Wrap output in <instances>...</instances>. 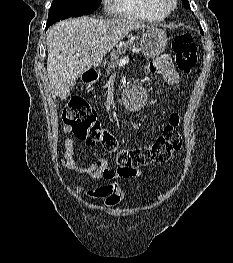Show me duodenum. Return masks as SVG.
<instances>
[{
    "label": "duodenum",
    "instance_id": "obj_1",
    "mask_svg": "<svg viewBox=\"0 0 233 263\" xmlns=\"http://www.w3.org/2000/svg\"><path fill=\"white\" fill-rule=\"evenodd\" d=\"M82 79L87 84H92L98 79V72L94 69H87L82 74Z\"/></svg>",
    "mask_w": 233,
    "mask_h": 263
}]
</instances>
